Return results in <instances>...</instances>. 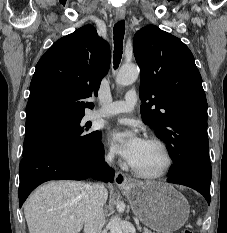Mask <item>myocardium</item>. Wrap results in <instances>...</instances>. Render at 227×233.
I'll return each mask as SVG.
<instances>
[{"mask_svg": "<svg viewBox=\"0 0 227 233\" xmlns=\"http://www.w3.org/2000/svg\"><path fill=\"white\" fill-rule=\"evenodd\" d=\"M146 142L155 144L162 150V152L165 156L164 167L161 170H159L157 172H152V173L141 171V170L137 169L136 167H134L132 164L129 165L130 169L136 176H138L140 178H144V179L162 178L170 172V170L173 166L174 161H173L172 153H171L169 147L167 146V144L159 138L150 137L146 140Z\"/></svg>", "mask_w": 227, "mask_h": 233, "instance_id": "myocardium-1", "label": "myocardium"}]
</instances>
